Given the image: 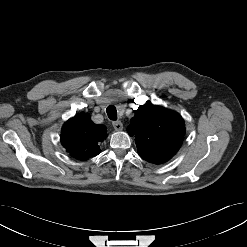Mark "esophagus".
<instances>
[{
	"label": "esophagus",
	"instance_id": "34e87169",
	"mask_svg": "<svg viewBox=\"0 0 247 247\" xmlns=\"http://www.w3.org/2000/svg\"><path fill=\"white\" fill-rule=\"evenodd\" d=\"M112 125L116 131H121L123 129V124L121 121H113Z\"/></svg>",
	"mask_w": 247,
	"mask_h": 247
}]
</instances>
